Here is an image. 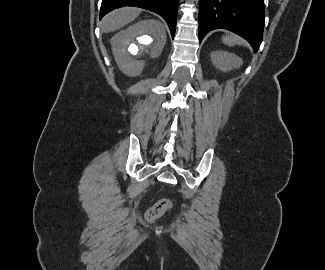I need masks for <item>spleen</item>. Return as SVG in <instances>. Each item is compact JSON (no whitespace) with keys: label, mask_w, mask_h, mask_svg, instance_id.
Listing matches in <instances>:
<instances>
[{"label":"spleen","mask_w":325,"mask_h":270,"mask_svg":"<svg viewBox=\"0 0 325 270\" xmlns=\"http://www.w3.org/2000/svg\"><path fill=\"white\" fill-rule=\"evenodd\" d=\"M223 42L229 46L235 45V44H239V45H243V41L234 35H228V36H223L222 38Z\"/></svg>","instance_id":"obj_1"}]
</instances>
